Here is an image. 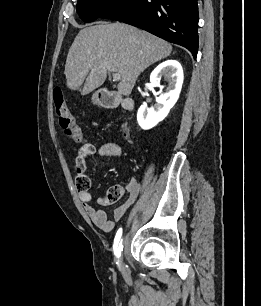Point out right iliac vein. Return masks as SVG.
I'll return each instance as SVG.
<instances>
[{"mask_svg": "<svg viewBox=\"0 0 261 306\" xmlns=\"http://www.w3.org/2000/svg\"><path fill=\"white\" fill-rule=\"evenodd\" d=\"M121 269L126 274V267H125L124 263L122 262V260H121Z\"/></svg>", "mask_w": 261, "mask_h": 306, "instance_id": "right-iliac-vein-1", "label": "right iliac vein"}]
</instances>
